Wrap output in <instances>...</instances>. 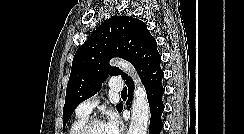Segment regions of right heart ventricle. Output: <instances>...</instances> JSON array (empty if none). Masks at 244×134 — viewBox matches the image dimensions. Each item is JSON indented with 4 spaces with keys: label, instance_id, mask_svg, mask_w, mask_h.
<instances>
[{
    "label": "right heart ventricle",
    "instance_id": "right-heart-ventricle-1",
    "mask_svg": "<svg viewBox=\"0 0 244 134\" xmlns=\"http://www.w3.org/2000/svg\"><path fill=\"white\" fill-rule=\"evenodd\" d=\"M88 120V116L77 114L75 119L71 122L67 134H77L82 125Z\"/></svg>",
    "mask_w": 244,
    "mask_h": 134
}]
</instances>
